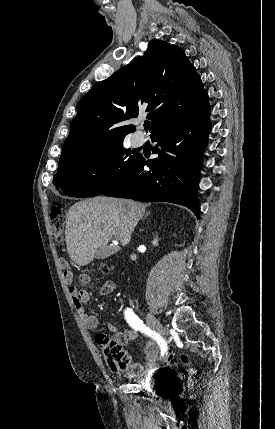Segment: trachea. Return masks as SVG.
Segmentation results:
<instances>
[{"mask_svg":"<svg viewBox=\"0 0 275 429\" xmlns=\"http://www.w3.org/2000/svg\"><path fill=\"white\" fill-rule=\"evenodd\" d=\"M149 128H150V122L149 121H145V123H144V129H145V131H148Z\"/></svg>","mask_w":275,"mask_h":429,"instance_id":"3493384b","label":"trachea"}]
</instances>
